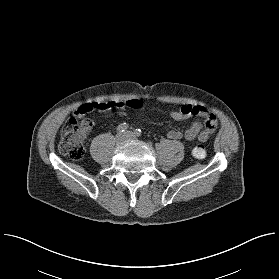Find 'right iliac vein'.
<instances>
[{
	"mask_svg": "<svg viewBox=\"0 0 279 279\" xmlns=\"http://www.w3.org/2000/svg\"><path fill=\"white\" fill-rule=\"evenodd\" d=\"M125 140V135L117 133L115 136V142L117 145L121 144Z\"/></svg>",
	"mask_w": 279,
	"mask_h": 279,
	"instance_id": "right-iliac-vein-1",
	"label": "right iliac vein"
}]
</instances>
